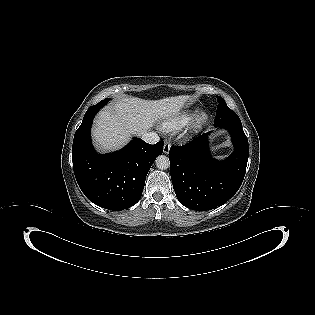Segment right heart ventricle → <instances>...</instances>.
<instances>
[{
	"label": "right heart ventricle",
	"mask_w": 315,
	"mask_h": 315,
	"mask_svg": "<svg viewBox=\"0 0 315 315\" xmlns=\"http://www.w3.org/2000/svg\"><path fill=\"white\" fill-rule=\"evenodd\" d=\"M195 114L196 109L181 111L163 121L161 129L167 133H175L186 127L193 120Z\"/></svg>",
	"instance_id": "right-heart-ventricle-1"
}]
</instances>
